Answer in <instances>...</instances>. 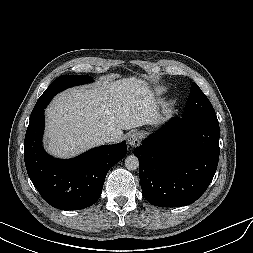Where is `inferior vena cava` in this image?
<instances>
[{
  "instance_id": "inferior-vena-cava-1",
  "label": "inferior vena cava",
  "mask_w": 253,
  "mask_h": 253,
  "mask_svg": "<svg viewBox=\"0 0 253 253\" xmlns=\"http://www.w3.org/2000/svg\"><path fill=\"white\" fill-rule=\"evenodd\" d=\"M99 136L102 143L111 142L115 139L114 135L108 131L101 132Z\"/></svg>"
}]
</instances>
